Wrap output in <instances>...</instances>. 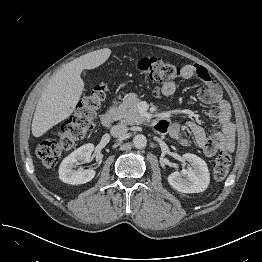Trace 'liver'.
I'll return each mask as SVG.
<instances>
[{
	"instance_id": "1",
	"label": "liver",
	"mask_w": 262,
	"mask_h": 262,
	"mask_svg": "<svg viewBox=\"0 0 262 262\" xmlns=\"http://www.w3.org/2000/svg\"><path fill=\"white\" fill-rule=\"evenodd\" d=\"M110 55L109 48L87 53L67 63L54 74L36 106L31 127L34 137L42 136L73 113L85 89L81 72L99 67Z\"/></svg>"
}]
</instances>
